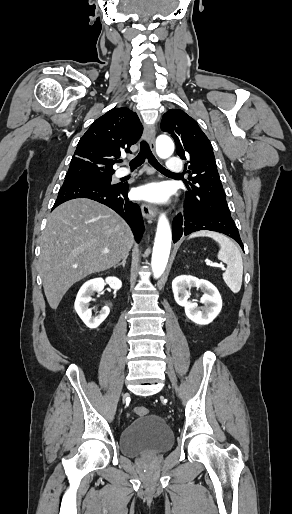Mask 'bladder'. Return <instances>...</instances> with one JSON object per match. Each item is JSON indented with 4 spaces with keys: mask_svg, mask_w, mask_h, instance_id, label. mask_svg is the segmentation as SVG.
I'll return each mask as SVG.
<instances>
[{
    "mask_svg": "<svg viewBox=\"0 0 292 514\" xmlns=\"http://www.w3.org/2000/svg\"><path fill=\"white\" fill-rule=\"evenodd\" d=\"M174 435L159 415L147 414L132 420L121 432L120 450L130 457L160 453L168 450Z\"/></svg>",
    "mask_w": 292,
    "mask_h": 514,
    "instance_id": "31cf9c89",
    "label": "bladder"
}]
</instances>
